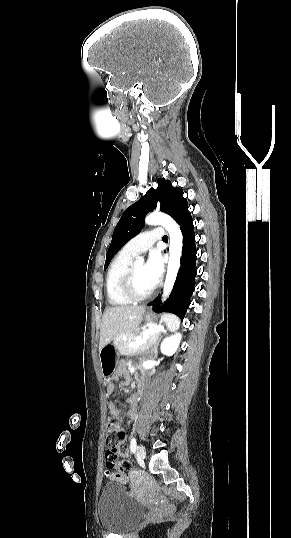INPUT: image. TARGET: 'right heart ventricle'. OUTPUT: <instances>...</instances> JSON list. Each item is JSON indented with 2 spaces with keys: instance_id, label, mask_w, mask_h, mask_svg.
<instances>
[{
  "instance_id": "1",
  "label": "right heart ventricle",
  "mask_w": 291,
  "mask_h": 538,
  "mask_svg": "<svg viewBox=\"0 0 291 538\" xmlns=\"http://www.w3.org/2000/svg\"><path fill=\"white\" fill-rule=\"evenodd\" d=\"M134 255L124 248L113 258L106 276V294L108 301L114 306H125L132 303L122 290V278L130 266Z\"/></svg>"
}]
</instances>
